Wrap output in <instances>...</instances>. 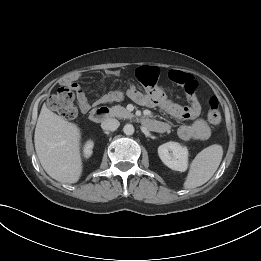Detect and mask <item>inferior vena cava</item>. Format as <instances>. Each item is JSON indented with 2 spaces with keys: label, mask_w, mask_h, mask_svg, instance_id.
Masks as SVG:
<instances>
[{
  "label": "inferior vena cava",
  "mask_w": 261,
  "mask_h": 261,
  "mask_svg": "<svg viewBox=\"0 0 261 261\" xmlns=\"http://www.w3.org/2000/svg\"><path fill=\"white\" fill-rule=\"evenodd\" d=\"M120 123L117 119L108 118L101 123L103 130L115 131L119 127Z\"/></svg>",
  "instance_id": "602c4592"
}]
</instances>
